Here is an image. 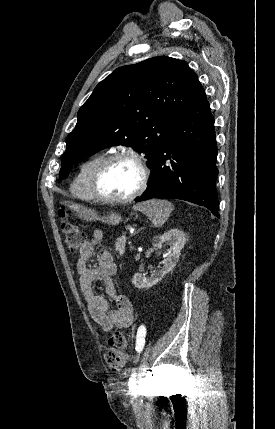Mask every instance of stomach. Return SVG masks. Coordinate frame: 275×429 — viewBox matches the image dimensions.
I'll return each mask as SVG.
<instances>
[{
	"mask_svg": "<svg viewBox=\"0 0 275 429\" xmlns=\"http://www.w3.org/2000/svg\"><path fill=\"white\" fill-rule=\"evenodd\" d=\"M68 206L69 209L75 213V215L87 221L101 220L102 222L108 223L110 225H117L121 221V216L115 212H112L107 216L99 217L94 210L86 208L83 205L70 203Z\"/></svg>",
	"mask_w": 275,
	"mask_h": 429,
	"instance_id": "stomach-1",
	"label": "stomach"
}]
</instances>
